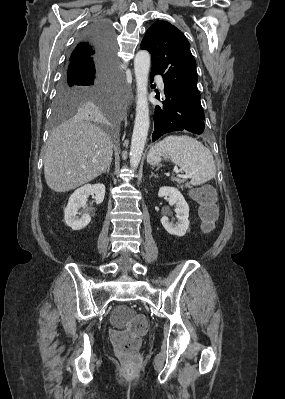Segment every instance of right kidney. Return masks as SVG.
I'll use <instances>...</instances> for the list:
<instances>
[{
	"label": "right kidney",
	"instance_id": "right-kidney-1",
	"mask_svg": "<svg viewBox=\"0 0 285 399\" xmlns=\"http://www.w3.org/2000/svg\"><path fill=\"white\" fill-rule=\"evenodd\" d=\"M95 195L96 204H101L105 196V186L101 183L98 184H87L84 185L70 196L68 204L64 210V219L66 224L72 228V230H81L85 228L91 221V217L88 213H84L80 218L77 216L78 210L82 207L85 210L87 208V198L89 195Z\"/></svg>",
	"mask_w": 285,
	"mask_h": 399
}]
</instances>
